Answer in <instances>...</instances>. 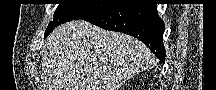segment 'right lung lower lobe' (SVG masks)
Instances as JSON below:
<instances>
[{
  "label": "right lung lower lobe",
  "mask_w": 216,
  "mask_h": 90,
  "mask_svg": "<svg viewBox=\"0 0 216 90\" xmlns=\"http://www.w3.org/2000/svg\"><path fill=\"white\" fill-rule=\"evenodd\" d=\"M106 30L134 36L164 63V22L158 16L156 4H114L98 14L84 18Z\"/></svg>",
  "instance_id": "1"
}]
</instances>
